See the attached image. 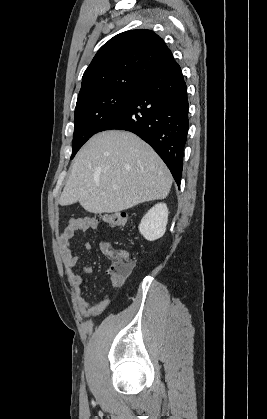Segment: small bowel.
Listing matches in <instances>:
<instances>
[{
  "instance_id": "obj_1",
  "label": "small bowel",
  "mask_w": 267,
  "mask_h": 419,
  "mask_svg": "<svg viewBox=\"0 0 267 419\" xmlns=\"http://www.w3.org/2000/svg\"><path fill=\"white\" fill-rule=\"evenodd\" d=\"M99 222L93 218H73L63 231L59 233L58 243L61 253V258L66 271L68 272L69 283L73 289L74 299L78 306L79 312L84 317L96 316L101 313L108 305V297L103 296L97 301L86 300L82 296L83 276L89 275L93 272V268L89 265L83 266L80 270L77 269L80 257L73 253L71 249V242L80 232L89 230H97ZM86 249H90L89 244L84 245ZM101 252L111 257L114 250L106 239H101L99 243ZM111 283L115 288L120 287L125 278L111 276Z\"/></svg>"
}]
</instances>
